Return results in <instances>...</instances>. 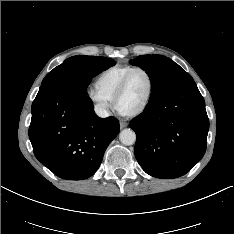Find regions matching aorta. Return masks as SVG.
<instances>
[{
    "instance_id": "aorta-1",
    "label": "aorta",
    "mask_w": 234,
    "mask_h": 234,
    "mask_svg": "<svg viewBox=\"0 0 234 234\" xmlns=\"http://www.w3.org/2000/svg\"><path fill=\"white\" fill-rule=\"evenodd\" d=\"M119 140L123 145H132L136 141V134L132 129H124L119 134Z\"/></svg>"
}]
</instances>
